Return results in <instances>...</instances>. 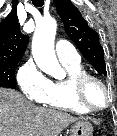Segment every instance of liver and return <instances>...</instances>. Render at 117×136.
<instances>
[{
    "instance_id": "1",
    "label": "liver",
    "mask_w": 117,
    "mask_h": 136,
    "mask_svg": "<svg viewBox=\"0 0 117 136\" xmlns=\"http://www.w3.org/2000/svg\"><path fill=\"white\" fill-rule=\"evenodd\" d=\"M76 121L63 111L33 104L18 91L0 88V136H58Z\"/></svg>"
}]
</instances>
